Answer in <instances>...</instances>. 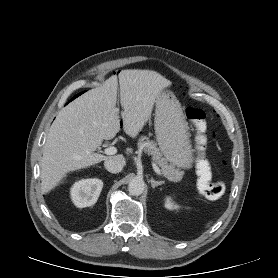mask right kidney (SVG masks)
<instances>
[{"mask_svg":"<svg viewBox=\"0 0 278 278\" xmlns=\"http://www.w3.org/2000/svg\"><path fill=\"white\" fill-rule=\"evenodd\" d=\"M103 182L98 178L82 179L71 188V199L79 208L94 205L102 191Z\"/></svg>","mask_w":278,"mask_h":278,"instance_id":"obj_1","label":"right kidney"}]
</instances>
